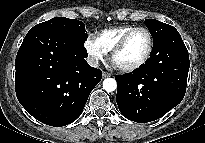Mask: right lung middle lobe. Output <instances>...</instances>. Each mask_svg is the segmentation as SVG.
I'll use <instances>...</instances> for the list:
<instances>
[{
	"label": "right lung middle lobe",
	"instance_id": "dd1d6c3e",
	"mask_svg": "<svg viewBox=\"0 0 205 143\" xmlns=\"http://www.w3.org/2000/svg\"><path fill=\"white\" fill-rule=\"evenodd\" d=\"M34 28H51L61 32L79 43L84 44L87 32L83 22L65 17H55L34 26Z\"/></svg>",
	"mask_w": 205,
	"mask_h": 143
}]
</instances>
